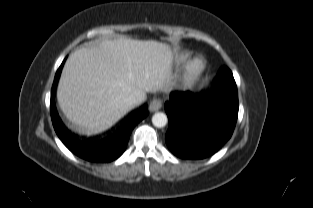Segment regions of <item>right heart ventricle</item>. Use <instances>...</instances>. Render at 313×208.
<instances>
[{"instance_id":"e07e8e85","label":"right heart ventricle","mask_w":313,"mask_h":208,"mask_svg":"<svg viewBox=\"0 0 313 208\" xmlns=\"http://www.w3.org/2000/svg\"><path fill=\"white\" fill-rule=\"evenodd\" d=\"M186 58H187V54L186 55H182L181 61H184Z\"/></svg>"}]
</instances>
